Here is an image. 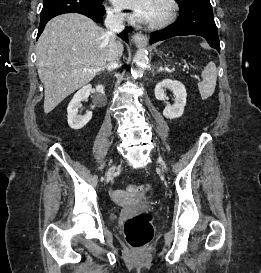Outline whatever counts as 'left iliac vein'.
I'll use <instances>...</instances> for the list:
<instances>
[{
    "mask_svg": "<svg viewBox=\"0 0 261 273\" xmlns=\"http://www.w3.org/2000/svg\"><path fill=\"white\" fill-rule=\"evenodd\" d=\"M158 162H159L160 165L162 166V169H163L164 171H166V170H167V166H166L164 160L161 159V158H159V159H158Z\"/></svg>",
    "mask_w": 261,
    "mask_h": 273,
    "instance_id": "4c4485c4",
    "label": "left iliac vein"
}]
</instances>
